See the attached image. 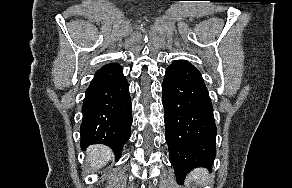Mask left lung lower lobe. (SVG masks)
<instances>
[{
    "mask_svg": "<svg viewBox=\"0 0 292 188\" xmlns=\"http://www.w3.org/2000/svg\"><path fill=\"white\" fill-rule=\"evenodd\" d=\"M165 138L177 179L196 167L211 169L216 156L213 107L200 72L185 60L166 69L162 85Z\"/></svg>",
    "mask_w": 292,
    "mask_h": 188,
    "instance_id": "1",
    "label": "left lung lower lobe"
}]
</instances>
